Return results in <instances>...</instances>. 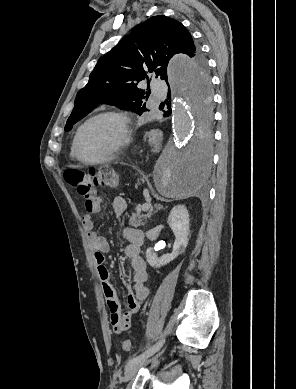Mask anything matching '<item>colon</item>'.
Listing matches in <instances>:
<instances>
[{
	"label": "colon",
	"mask_w": 296,
	"mask_h": 389,
	"mask_svg": "<svg viewBox=\"0 0 296 389\" xmlns=\"http://www.w3.org/2000/svg\"><path fill=\"white\" fill-rule=\"evenodd\" d=\"M66 182L80 195L88 197L93 187H115L118 185V174L110 167H100L88 172L68 170L65 172ZM122 349L126 352L132 350V343L126 339L122 342Z\"/></svg>",
	"instance_id": "colon-1"
}]
</instances>
